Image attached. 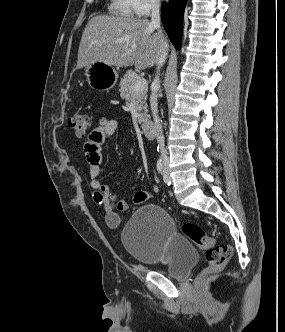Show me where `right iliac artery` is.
Instances as JSON below:
<instances>
[{"instance_id":"82829eb1","label":"right iliac artery","mask_w":285,"mask_h":332,"mask_svg":"<svg viewBox=\"0 0 285 332\" xmlns=\"http://www.w3.org/2000/svg\"><path fill=\"white\" fill-rule=\"evenodd\" d=\"M163 170H164V163H163L162 160H159V161L157 162V171H158L159 173H162Z\"/></svg>"}]
</instances>
